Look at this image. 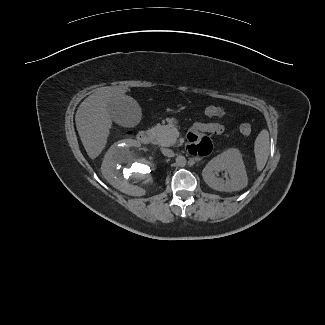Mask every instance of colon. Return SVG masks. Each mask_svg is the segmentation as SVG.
<instances>
[{
	"label": "colon",
	"mask_w": 325,
	"mask_h": 325,
	"mask_svg": "<svg viewBox=\"0 0 325 325\" xmlns=\"http://www.w3.org/2000/svg\"><path fill=\"white\" fill-rule=\"evenodd\" d=\"M203 114L207 117H222L225 115V110L219 106L209 105L203 108ZM239 129L244 136H249L252 132L251 125L248 123L240 124Z\"/></svg>",
	"instance_id": "1"
}]
</instances>
